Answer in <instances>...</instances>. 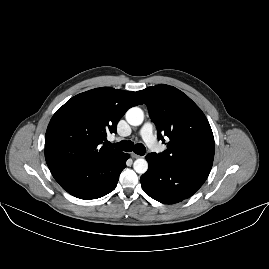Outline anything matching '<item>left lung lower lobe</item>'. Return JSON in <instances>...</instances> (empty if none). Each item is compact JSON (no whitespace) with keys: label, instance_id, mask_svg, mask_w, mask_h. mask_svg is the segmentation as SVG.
<instances>
[{"label":"left lung lower lobe","instance_id":"1","mask_svg":"<svg viewBox=\"0 0 269 269\" xmlns=\"http://www.w3.org/2000/svg\"><path fill=\"white\" fill-rule=\"evenodd\" d=\"M149 168L140 178L143 190L151 198L174 204L191 197L205 182L207 176L164 164L149 154Z\"/></svg>","mask_w":269,"mask_h":269}]
</instances>
